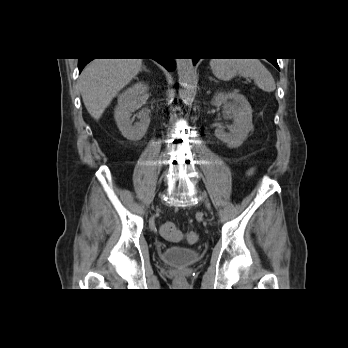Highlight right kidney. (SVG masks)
<instances>
[{
    "label": "right kidney",
    "instance_id": "obj_1",
    "mask_svg": "<svg viewBox=\"0 0 348 348\" xmlns=\"http://www.w3.org/2000/svg\"><path fill=\"white\" fill-rule=\"evenodd\" d=\"M147 91V85L136 83L118 97V105L114 111V118L118 129L128 140H141L149 127L150 117L147 111H141L136 115L139 120L138 122L133 124V119H131L132 113L138 109L139 96Z\"/></svg>",
    "mask_w": 348,
    "mask_h": 348
}]
</instances>
